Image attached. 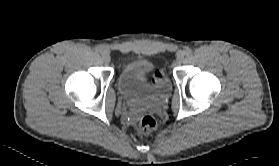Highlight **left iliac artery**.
Here are the masks:
<instances>
[{
  "mask_svg": "<svg viewBox=\"0 0 279 166\" xmlns=\"http://www.w3.org/2000/svg\"><path fill=\"white\" fill-rule=\"evenodd\" d=\"M191 53H192V50L190 49V48H186L185 50H184V54H186V55H191Z\"/></svg>",
  "mask_w": 279,
  "mask_h": 166,
  "instance_id": "left-iliac-artery-1",
  "label": "left iliac artery"
}]
</instances>
